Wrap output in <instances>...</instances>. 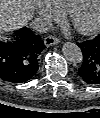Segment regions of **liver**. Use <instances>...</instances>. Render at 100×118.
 Segmentation results:
<instances>
[{
    "label": "liver",
    "instance_id": "6515ba94",
    "mask_svg": "<svg viewBox=\"0 0 100 118\" xmlns=\"http://www.w3.org/2000/svg\"><path fill=\"white\" fill-rule=\"evenodd\" d=\"M34 10L33 0H0L1 39L6 40L4 33L27 25Z\"/></svg>",
    "mask_w": 100,
    "mask_h": 118
}]
</instances>
